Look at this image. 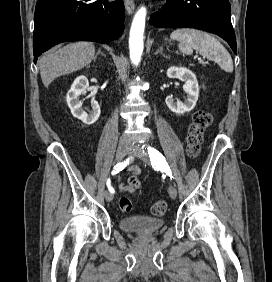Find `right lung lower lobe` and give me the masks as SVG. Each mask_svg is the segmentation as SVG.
<instances>
[{"label": "right lung lower lobe", "mask_w": 272, "mask_h": 282, "mask_svg": "<svg viewBox=\"0 0 272 282\" xmlns=\"http://www.w3.org/2000/svg\"><path fill=\"white\" fill-rule=\"evenodd\" d=\"M33 35L34 63L52 46L66 41L106 43L124 30L122 0H38Z\"/></svg>", "instance_id": "1"}]
</instances>
